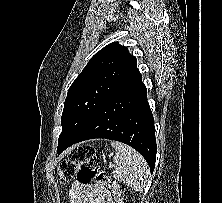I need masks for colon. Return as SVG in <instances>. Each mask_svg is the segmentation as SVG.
Masks as SVG:
<instances>
[{
	"instance_id": "1",
	"label": "colon",
	"mask_w": 222,
	"mask_h": 203,
	"mask_svg": "<svg viewBox=\"0 0 222 203\" xmlns=\"http://www.w3.org/2000/svg\"><path fill=\"white\" fill-rule=\"evenodd\" d=\"M58 175L63 183L70 182L77 177L82 184L97 183L111 189L115 203H121L118 186L100 168L99 157L95 148L85 144L73 149L58 167Z\"/></svg>"
}]
</instances>
